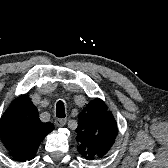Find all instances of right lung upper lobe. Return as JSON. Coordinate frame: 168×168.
<instances>
[{"mask_svg": "<svg viewBox=\"0 0 168 168\" xmlns=\"http://www.w3.org/2000/svg\"><path fill=\"white\" fill-rule=\"evenodd\" d=\"M53 129L52 123L40 121L30 99L21 96L13 101L1 117L0 140L15 160H31L39 144Z\"/></svg>", "mask_w": 168, "mask_h": 168, "instance_id": "cb5924a9", "label": "right lung upper lobe"}]
</instances>
